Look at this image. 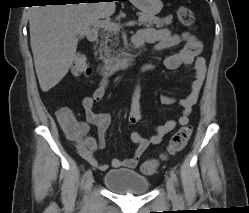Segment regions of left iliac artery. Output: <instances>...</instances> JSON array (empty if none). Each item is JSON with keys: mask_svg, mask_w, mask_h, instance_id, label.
Listing matches in <instances>:
<instances>
[{"mask_svg": "<svg viewBox=\"0 0 249 213\" xmlns=\"http://www.w3.org/2000/svg\"><path fill=\"white\" fill-rule=\"evenodd\" d=\"M170 176L172 180L176 183L177 182V176L173 170L170 171Z\"/></svg>", "mask_w": 249, "mask_h": 213, "instance_id": "left-iliac-artery-1", "label": "left iliac artery"}]
</instances>
